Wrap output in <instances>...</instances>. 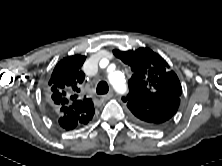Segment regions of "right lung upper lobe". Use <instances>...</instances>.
I'll list each match as a JSON object with an SVG mask.
<instances>
[{
	"mask_svg": "<svg viewBox=\"0 0 222 166\" xmlns=\"http://www.w3.org/2000/svg\"><path fill=\"white\" fill-rule=\"evenodd\" d=\"M85 59L78 54L63 58L46 84V98L56 117H67L77 124L89 122L95 113L91 99L77 94L85 78L81 70Z\"/></svg>",
	"mask_w": 222,
	"mask_h": 166,
	"instance_id": "cb5924a9",
	"label": "right lung upper lobe"
}]
</instances>
